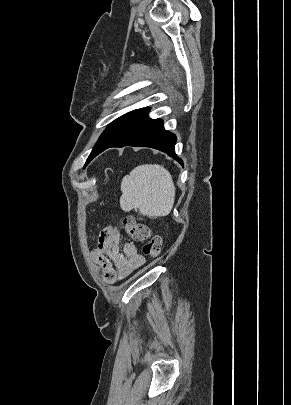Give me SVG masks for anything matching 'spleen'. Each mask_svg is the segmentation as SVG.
Wrapping results in <instances>:
<instances>
[{
  "label": "spleen",
  "instance_id": "obj_1",
  "mask_svg": "<svg viewBox=\"0 0 291 405\" xmlns=\"http://www.w3.org/2000/svg\"><path fill=\"white\" fill-rule=\"evenodd\" d=\"M120 207L124 211L138 209L148 217L167 216L174 204L175 186L171 174L158 164L134 168L121 183Z\"/></svg>",
  "mask_w": 291,
  "mask_h": 405
}]
</instances>
